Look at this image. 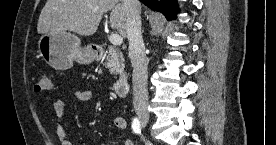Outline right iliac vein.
Here are the masks:
<instances>
[{
	"label": "right iliac vein",
	"instance_id": "right-iliac-vein-1",
	"mask_svg": "<svg viewBox=\"0 0 276 145\" xmlns=\"http://www.w3.org/2000/svg\"><path fill=\"white\" fill-rule=\"evenodd\" d=\"M139 119L143 124H146L149 120V117L142 115V116H139Z\"/></svg>",
	"mask_w": 276,
	"mask_h": 145
}]
</instances>
